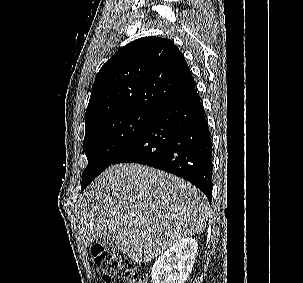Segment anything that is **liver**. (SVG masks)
<instances>
[{
    "mask_svg": "<svg viewBox=\"0 0 303 283\" xmlns=\"http://www.w3.org/2000/svg\"><path fill=\"white\" fill-rule=\"evenodd\" d=\"M207 213L205 196L189 182L130 163L112 165L95 179L81 196L76 221L85 247L113 235L123 254L145 263L203 232Z\"/></svg>",
    "mask_w": 303,
    "mask_h": 283,
    "instance_id": "obj_1",
    "label": "liver"
}]
</instances>
